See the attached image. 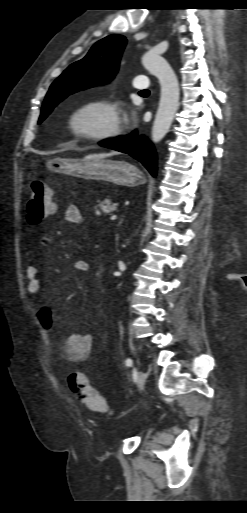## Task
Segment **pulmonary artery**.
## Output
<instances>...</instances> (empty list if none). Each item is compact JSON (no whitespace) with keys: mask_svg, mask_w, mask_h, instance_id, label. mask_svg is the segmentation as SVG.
Segmentation results:
<instances>
[{"mask_svg":"<svg viewBox=\"0 0 247 513\" xmlns=\"http://www.w3.org/2000/svg\"><path fill=\"white\" fill-rule=\"evenodd\" d=\"M133 86H134L136 89L143 90V89L148 88V86H149V81H148V79H147V77H146V76H144V75H140V76H137V77L134 79Z\"/></svg>","mask_w":247,"mask_h":513,"instance_id":"1","label":"pulmonary artery"}]
</instances>
